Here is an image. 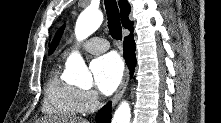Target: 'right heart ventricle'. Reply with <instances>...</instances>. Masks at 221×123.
I'll return each instance as SVG.
<instances>
[{"label":"right heart ventricle","instance_id":"obj_1","mask_svg":"<svg viewBox=\"0 0 221 123\" xmlns=\"http://www.w3.org/2000/svg\"><path fill=\"white\" fill-rule=\"evenodd\" d=\"M79 91L76 87L64 82L59 76L58 69L53 68L44 87L43 112L62 118L83 113Z\"/></svg>","mask_w":221,"mask_h":123}]
</instances>
